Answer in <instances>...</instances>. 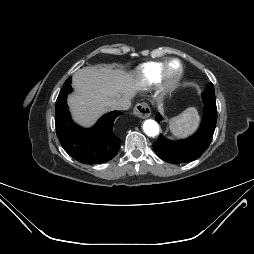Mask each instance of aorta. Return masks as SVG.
Masks as SVG:
<instances>
[{
	"mask_svg": "<svg viewBox=\"0 0 254 254\" xmlns=\"http://www.w3.org/2000/svg\"><path fill=\"white\" fill-rule=\"evenodd\" d=\"M144 132L150 136L154 137L159 134V125L154 120H146L143 125Z\"/></svg>",
	"mask_w": 254,
	"mask_h": 254,
	"instance_id": "762f6f07",
	"label": "aorta"
}]
</instances>
